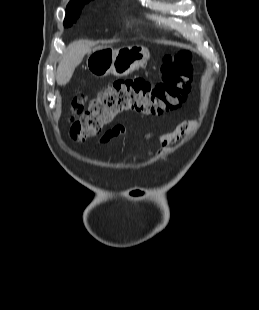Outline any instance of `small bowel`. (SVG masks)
<instances>
[{"mask_svg": "<svg viewBox=\"0 0 259 310\" xmlns=\"http://www.w3.org/2000/svg\"><path fill=\"white\" fill-rule=\"evenodd\" d=\"M196 126V122L192 120H185L180 122L176 128L168 133H165L159 137L162 148L159 151V155L164 154L170 150V145L177 142L181 137L191 132ZM127 135L126 130L122 126H115L111 130L107 131L99 140L98 144H107L113 139L119 137H125ZM153 134H148L146 139L153 138Z\"/></svg>", "mask_w": 259, "mask_h": 310, "instance_id": "obj_1", "label": "small bowel"}]
</instances>
